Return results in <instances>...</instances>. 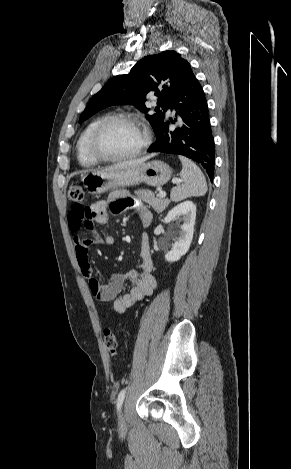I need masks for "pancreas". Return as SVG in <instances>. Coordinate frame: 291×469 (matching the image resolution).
I'll list each match as a JSON object with an SVG mask.
<instances>
[{"instance_id":"cf45deb5","label":"pancreas","mask_w":291,"mask_h":469,"mask_svg":"<svg viewBox=\"0 0 291 469\" xmlns=\"http://www.w3.org/2000/svg\"><path fill=\"white\" fill-rule=\"evenodd\" d=\"M135 193L139 200L148 203L157 213L164 211L170 203L168 199L155 197V194L150 190H137Z\"/></svg>"}]
</instances>
